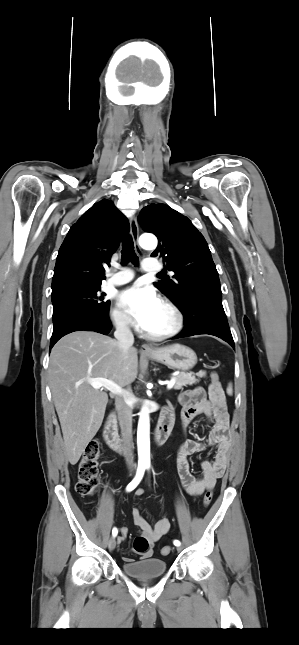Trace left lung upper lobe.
I'll use <instances>...</instances> for the list:
<instances>
[{"instance_id":"obj_1","label":"left lung upper lobe","mask_w":299,"mask_h":645,"mask_svg":"<svg viewBox=\"0 0 299 645\" xmlns=\"http://www.w3.org/2000/svg\"><path fill=\"white\" fill-rule=\"evenodd\" d=\"M145 232L159 239L151 256L162 257L173 280L154 285L173 299L184 317L192 319L197 306L211 293H221V285L211 252L203 235L192 222L165 204H151L138 217Z\"/></svg>"}]
</instances>
